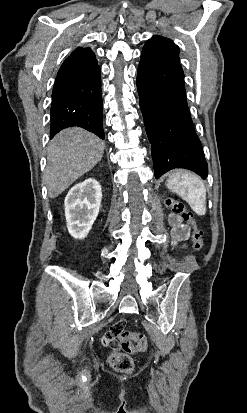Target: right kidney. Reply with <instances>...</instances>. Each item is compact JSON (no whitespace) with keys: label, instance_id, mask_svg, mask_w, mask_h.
Returning a JSON list of instances; mask_svg holds the SVG:
<instances>
[{"label":"right kidney","instance_id":"1","mask_svg":"<svg viewBox=\"0 0 247 413\" xmlns=\"http://www.w3.org/2000/svg\"><path fill=\"white\" fill-rule=\"evenodd\" d=\"M101 196V184L95 178H86L70 188L64 204L67 229L71 237H87L98 217Z\"/></svg>","mask_w":247,"mask_h":413}]
</instances>
